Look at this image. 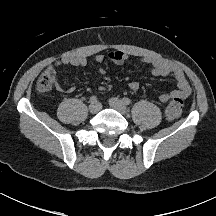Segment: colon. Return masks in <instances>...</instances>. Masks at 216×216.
Listing matches in <instances>:
<instances>
[{"label": "colon", "instance_id": "5ec220e1", "mask_svg": "<svg viewBox=\"0 0 216 216\" xmlns=\"http://www.w3.org/2000/svg\"><path fill=\"white\" fill-rule=\"evenodd\" d=\"M56 75L54 71L46 70L38 79L36 89L39 93H47L54 87ZM183 102L179 98L173 99L166 107L165 114L170 120L179 118L182 114Z\"/></svg>", "mask_w": 216, "mask_h": 216}]
</instances>
